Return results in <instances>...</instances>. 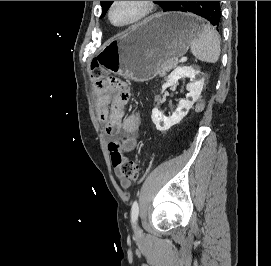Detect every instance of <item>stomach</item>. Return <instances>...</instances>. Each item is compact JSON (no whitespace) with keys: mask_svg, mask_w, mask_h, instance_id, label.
<instances>
[{"mask_svg":"<svg viewBox=\"0 0 271 266\" xmlns=\"http://www.w3.org/2000/svg\"><path fill=\"white\" fill-rule=\"evenodd\" d=\"M200 31L199 18L193 14H157L109 40L97 59L113 74L148 81L159 74L163 63L183 56Z\"/></svg>","mask_w":271,"mask_h":266,"instance_id":"0dacf381","label":"stomach"}]
</instances>
